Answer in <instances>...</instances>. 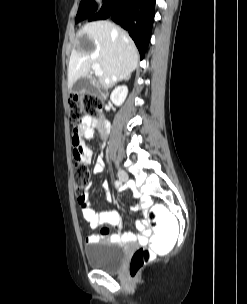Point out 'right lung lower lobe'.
Here are the masks:
<instances>
[{
	"instance_id": "right-lung-lower-lobe-1",
	"label": "right lung lower lobe",
	"mask_w": 247,
	"mask_h": 304,
	"mask_svg": "<svg viewBox=\"0 0 247 304\" xmlns=\"http://www.w3.org/2000/svg\"><path fill=\"white\" fill-rule=\"evenodd\" d=\"M154 7L155 0H105L88 21L112 18L129 32L143 59L151 37Z\"/></svg>"
}]
</instances>
